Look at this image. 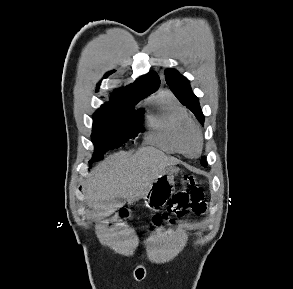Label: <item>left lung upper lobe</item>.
Segmentation results:
<instances>
[{"instance_id": "1", "label": "left lung upper lobe", "mask_w": 293, "mask_h": 289, "mask_svg": "<svg viewBox=\"0 0 293 289\" xmlns=\"http://www.w3.org/2000/svg\"><path fill=\"white\" fill-rule=\"evenodd\" d=\"M165 79L174 95L183 105L190 109L203 124L204 115L199 106L198 98L191 90L189 81L175 69H166ZM201 164L204 167L207 166V162L204 157L201 159Z\"/></svg>"}]
</instances>
